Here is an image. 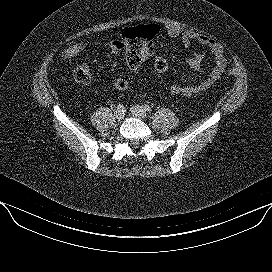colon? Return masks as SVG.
I'll list each match as a JSON object with an SVG mask.
<instances>
[{"label":"colon","instance_id":"obj_1","mask_svg":"<svg viewBox=\"0 0 272 272\" xmlns=\"http://www.w3.org/2000/svg\"><path fill=\"white\" fill-rule=\"evenodd\" d=\"M159 29L158 26L155 24H147V25H141L133 28L134 35L141 39L142 43L146 47L151 46V41L152 39L156 36L158 33ZM92 41L88 38L78 40L65 48L62 51V56L65 58H70L73 57L85 49H87L91 45ZM154 69L156 70L157 73H165L168 69V63L165 58L161 56H157L154 59ZM228 74L230 76H235L237 74V71L235 69H230L228 71ZM73 77L75 81L81 84H86L89 83L92 79V71L90 67L87 64H81L78 65L74 71H73ZM129 86V83L127 80L123 78H119L114 82V88L117 91H123L127 89Z\"/></svg>","mask_w":272,"mask_h":272}]
</instances>
